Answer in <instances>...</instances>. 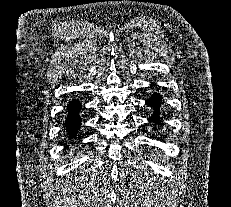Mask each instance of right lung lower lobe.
<instances>
[{
	"instance_id": "1",
	"label": "right lung lower lobe",
	"mask_w": 231,
	"mask_h": 207,
	"mask_svg": "<svg viewBox=\"0 0 231 207\" xmlns=\"http://www.w3.org/2000/svg\"><path fill=\"white\" fill-rule=\"evenodd\" d=\"M68 116L65 121L66 129L70 137H75L77 130L79 129L81 119L78 111L81 109V104L78 100H72L68 104Z\"/></svg>"
}]
</instances>
